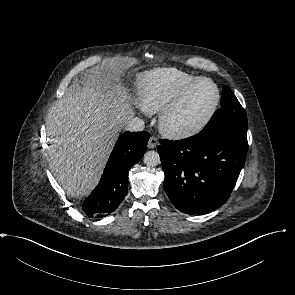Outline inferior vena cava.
Segmentation results:
<instances>
[{
  "mask_svg": "<svg viewBox=\"0 0 295 295\" xmlns=\"http://www.w3.org/2000/svg\"><path fill=\"white\" fill-rule=\"evenodd\" d=\"M144 127V121L138 117H132L122 124L124 130L131 132L142 131Z\"/></svg>",
  "mask_w": 295,
  "mask_h": 295,
  "instance_id": "inferior-vena-cava-1",
  "label": "inferior vena cava"
}]
</instances>
